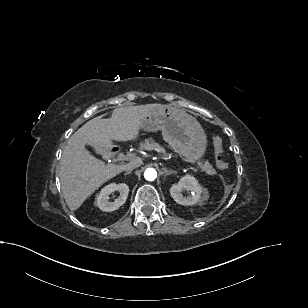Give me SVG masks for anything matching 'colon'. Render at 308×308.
<instances>
[{"mask_svg": "<svg viewBox=\"0 0 308 308\" xmlns=\"http://www.w3.org/2000/svg\"><path fill=\"white\" fill-rule=\"evenodd\" d=\"M213 144H214L215 155H216V164L218 168L220 169L228 168L229 163L227 161V158L224 152L222 139L219 136H214Z\"/></svg>", "mask_w": 308, "mask_h": 308, "instance_id": "obj_1", "label": "colon"}]
</instances>
